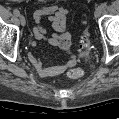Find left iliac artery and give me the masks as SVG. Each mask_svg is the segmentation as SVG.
Masks as SVG:
<instances>
[{
  "label": "left iliac artery",
  "instance_id": "obj_1",
  "mask_svg": "<svg viewBox=\"0 0 119 119\" xmlns=\"http://www.w3.org/2000/svg\"><path fill=\"white\" fill-rule=\"evenodd\" d=\"M101 7H102V9H105L107 7V3H102Z\"/></svg>",
  "mask_w": 119,
  "mask_h": 119
}]
</instances>
